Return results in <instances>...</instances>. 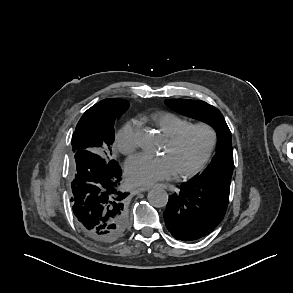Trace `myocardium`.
Returning <instances> with one entry per match:
<instances>
[{
	"label": "myocardium",
	"mask_w": 293,
	"mask_h": 293,
	"mask_svg": "<svg viewBox=\"0 0 293 293\" xmlns=\"http://www.w3.org/2000/svg\"><path fill=\"white\" fill-rule=\"evenodd\" d=\"M193 129L205 130L208 134V143L200 159L191 168L184 171L176 172V175L180 178H188L198 173L209 160L217 143V133L215 129L213 128V126L205 122H197L187 125L174 135L168 137L167 142L170 145H176L187 135V133H189Z\"/></svg>",
	"instance_id": "obj_1"
}]
</instances>
